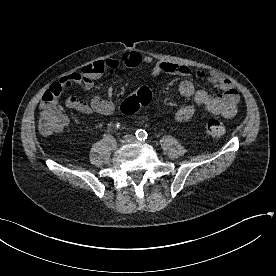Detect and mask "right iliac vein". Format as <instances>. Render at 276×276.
I'll return each instance as SVG.
<instances>
[{
    "label": "right iliac vein",
    "instance_id": "right-iliac-vein-1",
    "mask_svg": "<svg viewBox=\"0 0 276 276\" xmlns=\"http://www.w3.org/2000/svg\"><path fill=\"white\" fill-rule=\"evenodd\" d=\"M108 147L111 151H115L117 149V142L114 140V141L108 143Z\"/></svg>",
    "mask_w": 276,
    "mask_h": 276
}]
</instances>
